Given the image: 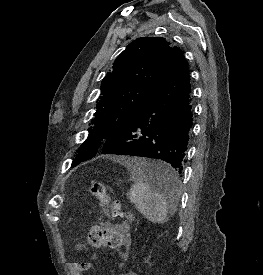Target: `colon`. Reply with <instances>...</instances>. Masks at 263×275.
Segmentation results:
<instances>
[{
	"label": "colon",
	"instance_id": "colon-1",
	"mask_svg": "<svg viewBox=\"0 0 263 275\" xmlns=\"http://www.w3.org/2000/svg\"><path fill=\"white\" fill-rule=\"evenodd\" d=\"M88 190L97 199L101 207L110 208L113 216L118 217L122 215L119 203L111 199L103 183L99 181H92ZM117 244L118 236L111 227L97 226L89 231L85 242L79 243L77 248L82 249L85 246L116 247ZM92 266L93 263L89 261H81L76 263L77 269L82 272L89 270Z\"/></svg>",
	"mask_w": 263,
	"mask_h": 275
}]
</instances>
